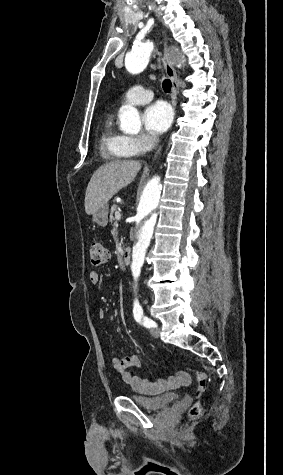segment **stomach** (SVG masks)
<instances>
[{
    "label": "stomach",
    "instance_id": "0dacf381",
    "mask_svg": "<svg viewBox=\"0 0 283 475\" xmlns=\"http://www.w3.org/2000/svg\"><path fill=\"white\" fill-rule=\"evenodd\" d=\"M108 214H109V206L108 204H105V206H102V208H99L98 212H95V214H92L93 222H96L98 226H107L108 224Z\"/></svg>",
    "mask_w": 283,
    "mask_h": 475
}]
</instances>
